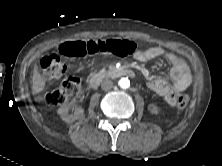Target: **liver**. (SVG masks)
<instances>
[{
	"instance_id": "6515ba94",
	"label": "liver",
	"mask_w": 222,
	"mask_h": 166,
	"mask_svg": "<svg viewBox=\"0 0 222 166\" xmlns=\"http://www.w3.org/2000/svg\"><path fill=\"white\" fill-rule=\"evenodd\" d=\"M45 85L46 82L43 76L39 73L37 64H35L32 75V89L34 92L39 93L44 89Z\"/></svg>"
}]
</instances>
